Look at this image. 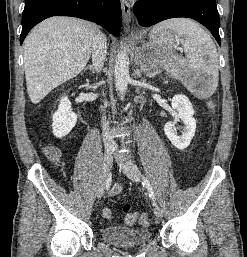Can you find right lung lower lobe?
<instances>
[{
  "label": "right lung lower lobe",
  "mask_w": 247,
  "mask_h": 257,
  "mask_svg": "<svg viewBox=\"0 0 247 257\" xmlns=\"http://www.w3.org/2000/svg\"><path fill=\"white\" fill-rule=\"evenodd\" d=\"M51 16H73L95 22L114 36L121 30L119 0H25L20 44L28 32Z\"/></svg>",
  "instance_id": "right-lung-lower-lobe-1"
}]
</instances>
